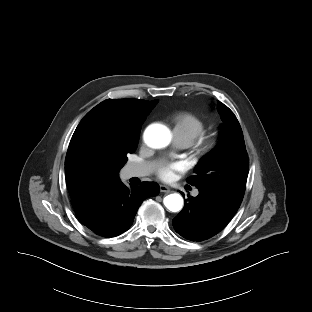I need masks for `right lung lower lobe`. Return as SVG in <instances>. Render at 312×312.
<instances>
[{"label": "right lung lower lobe", "instance_id": "obj_1", "mask_svg": "<svg viewBox=\"0 0 312 312\" xmlns=\"http://www.w3.org/2000/svg\"><path fill=\"white\" fill-rule=\"evenodd\" d=\"M158 193L159 186L154 182H143L141 186L128 188L120 181L86 213L77 217L97 235L117 236L132 225L143 200Z\"/></svg>", "mask_w": 312, "mask_h": 312}]
</instances>
